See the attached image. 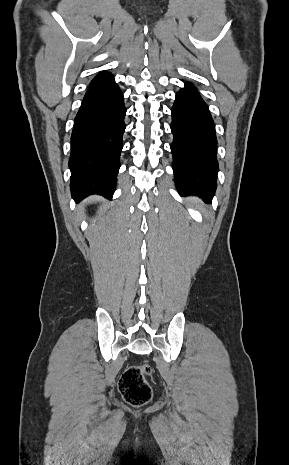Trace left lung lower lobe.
<instances>
[{"instance_id": "1", "label": "left lung lower lobe", "mask_w": 289, "mask_h": 465, "mask_svg": "<svg viewBox=\"0 0 289 465\" xmlns=\"http://www.w3.org/2000/svg\"><path fill=\"white\" fill-rule=\"evenodd\" d=\"M171 145L175 184L181 195L195 194L210 203L216 190L217 139L207 105L186 83L171 110Z\"/></svg>"}]
</instances>
